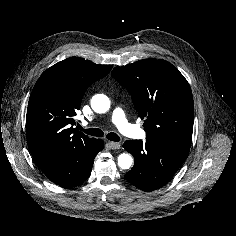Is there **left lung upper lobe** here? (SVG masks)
I'll list each match as a JSON object with an SVG mask.
<instances>
[{"mask_svg":"<svg viewBox=\"0 0 236 236\" xmlns=\"http://www.w3.org/2000/svg\"><path fill=\"white\" fill-rule=\"evenodd\" d=\"M113 78L131 94L146 139L190 150L194 103L191 88L179 70L155 58L115 67Z\"/></svg>","mask_w":236,"mask_h":236,"instance_id":"1","label":"left lung upper lobe"}]
</instances>
